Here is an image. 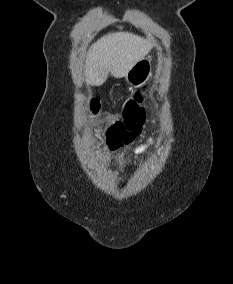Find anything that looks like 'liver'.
I'll use <instances>...</instances> for the list:
<instances>
[{
    "label": "liver",
    "mask_w": 233,
    "mask_h": 284,
    "mask_svg": "<svg viewBox=\"0 0 233 284\" xmlns=\"http://www.w3.org/2000/svg\"><path fill=\"white\" fill-rule=\"evenodd\" d=\"M153 44L140 36L128 32H116L103 36L94 43L85 62L87 84L100 86L109 73L122 78L152 49Z\"/></svg>",
    "instance_id": "obj_1"
}]
</instances>
